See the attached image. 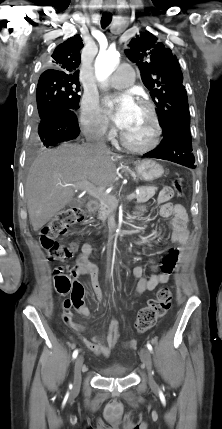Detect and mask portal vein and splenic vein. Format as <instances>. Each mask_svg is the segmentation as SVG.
Returning <instances> with one entry per match:
<instances>
[{"label": "portal vein and splenic vein", "instance_id": "portal-vein-and-splenic-vein-1", "mask_svg": "<svg viewBox=\"0 0 222 429\" xmlns=\"http://www.w3.org/2000/svg\"><path fill=\"white\" fill-rule=\"evenodd\" d=\"M66 186H72V187H74V188H76V189L84 190V191H86L89 195H91V196H93V197H95V198H97V199H99V200H101V199H103L105 196H107V194H105V193H104V189H102V188H97V187H95L93 184H91V183H90V182H88V181H81V182H78V183H76V184H68V185H66ZM134 197H135V194H129V195L127 196V199H128V200H132V199H134ZM111 200H113V201H115V202H117V203H118V200H117V199H115V198H112Z\"/></svg>", "mask_w": 222, "mask_h": 429}]
</instances>
